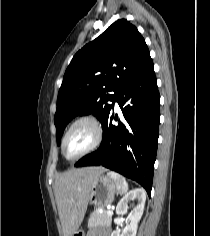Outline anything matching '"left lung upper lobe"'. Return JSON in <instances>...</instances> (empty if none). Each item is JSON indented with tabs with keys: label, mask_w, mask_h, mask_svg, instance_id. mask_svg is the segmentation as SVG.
<instances>
[{
	"label": "left lung upper lobe",
	"mask_w": 210,
	"mask_h": 236,
	"mask_svg": "<svg viewBox=\"0 0 210 236\" xmlns=\"http://www.w3.org/2000/svg\"><path fill=\"white\" fill-rule=\"evenodd\" d=\"M149 61L148 47L137 28L125 19L111 24L86 44L68 66L54 117L57 144L75 116L92 113L102 123L119 91ZM114 91V95L107 94Z\"/></svg>",
	"instance_id": "5c2ea615"
}]
</instances>
